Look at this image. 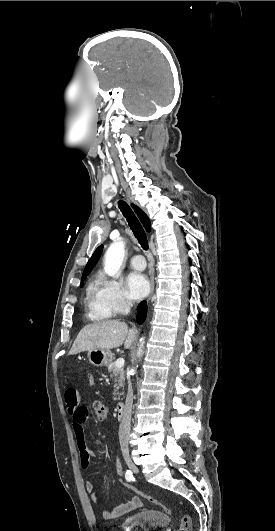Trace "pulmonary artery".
Wrapping results in <instances>:
<instances>
[{
  "label": "pulmonary artery",
  "instance_id": "e3ab8cb5",
  "mask_svg": "<svg viewBox=\"0 0 275 531\" xmlns=\"http://www.w3.org/2000/svg\"><path fill=\"white\" fill-rule=\"evenodd\" d=\"M130 265L133 269L143 270L146 268V262L142 255H134L130 258Z\"/></svg>",
  "mask_w": 275,
  "mask_h": 531
}]
</instances>
